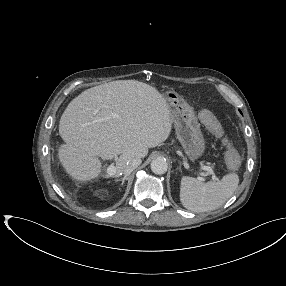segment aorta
Wrapping results in <instances>:
<instances>
[{
	"label": "aorta",
	"instance_id": "aorta-1",
	"mask_svg": "<svg viewBox=\"0 0 286 286\" xmlns=\"http://www.w3.org/2000/svg\"><path fill=\"white\" fill-rule=\"evenodd\" d=\"M150 166L152 172L159 175L166 173L168 169V163L166 159L162 157H158L152 160Z\"/></svg>",
	"mask_w": 286,
	"mask_h": 286
}]
</instances>
